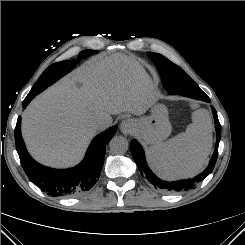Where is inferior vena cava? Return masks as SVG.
I'll list each match as a JSON object with an SVG mask.
<instances>
[{"label": "inferior vena cava", "mask_w": 245, "mask_h": 245, "mask_svg": "<svg viewBox=\"0 0 245 245\" xmlns=\"http://www.w3.org/2000/svg\"><path fill=\"white\" fill-rule=\"evenodd\" d=\"M96 124H97L98 127H104V126H106V125L108 124V122L105 121V120L99 119V120L96 122Z\"/></svg>", "instance_id": "1"}]
</instances>
